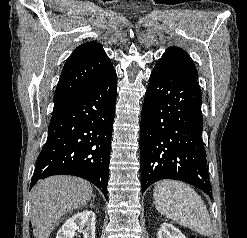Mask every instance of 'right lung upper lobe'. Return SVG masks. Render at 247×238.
Segmentation results:
<instances>
[{"label": "right lung upper lobe", "mask_w": 247, "mask_h": 238, "mask_svg": "<svg viewBox=\"0 0 247 238\" xmlns=\"http://www.w3.org/2000/svg\"><path fill=\"white\" fill-rule=\"evenodd\" d=\"M113 70L109 57L99 43L80 45L63 67L54 94V109L73 100Z\"/></svg>", "instance_id": "right-lung-upper-lobe-1"}]
</instances>
